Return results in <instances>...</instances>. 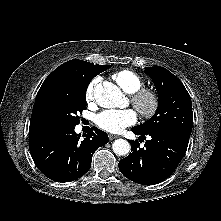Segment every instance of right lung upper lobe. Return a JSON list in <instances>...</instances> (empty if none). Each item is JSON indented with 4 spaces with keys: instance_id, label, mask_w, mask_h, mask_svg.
<instances>
[{
    "instance_id": "cb5924a9",
    "label": "right lung upper lobe",
    "mask_w": 221,
    "mask_h": 221,
    "mask_svg": "<svg viewBox=\"0 0 221 221\" xmlns=\"http://www.w3.org/2000/svg\"><path fill=\"white\" fill-rule=\"evenodd\" d=\"M104 65H94L92 63L74 59L65 62L56 68L43 82L40 87L35 104L32 111L31 121H30V129L29 133L38 132L33 125V116L35 113V109L40 102L41 98L45 94V92L55 84L74 80V81H91L93 79L94 74L99 71ZM98 75V74H97Z\"/></svg>"
}]
</instances>
